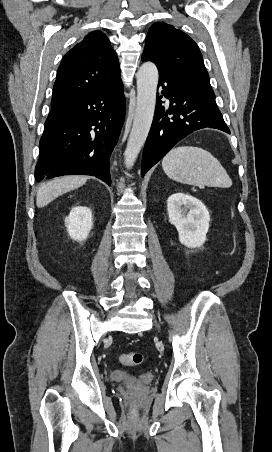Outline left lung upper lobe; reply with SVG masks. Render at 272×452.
Wrapping results in <instances>:
<instances>
[{
	"label": "left lung upper lobe",
	"instance_id": "5c2ea615",
	"mask_svg": "<svg viewBox=\"0 0 272 452\" xmlns=\"http://www.w3.org/2000/svg\"><path fill=\"white\" fill-rule=\"evenodd\" d=\"M142 59L154 62L159 71H171L211 87L197 44L174 26L157 22L147 34Z\"/></svg>",
	"mask_w": 272,
	"mask_h": 452
}]
</instances>
